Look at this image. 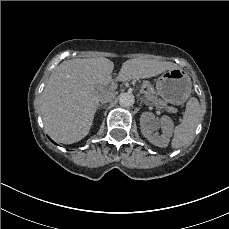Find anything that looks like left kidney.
Listing matches in <instances>:
<instances>
[{"label": "left kidney", "instance_id": "1", "mask_svg": "<svg viewBox=\"0 0 229 229\" xmlns=\"http://www.w3.org/2000/svg\"><path fill=\"white\" fill-rule=\"evenodd\" d=\"M159 123L164 132L160 136H151V132L154 130V126ZM141 130L145 138H147L152 144L160 148H166L170 137L172 135V121L167 117H162L159 121L150 112H145L140 117Z\"/></svg>", "mask_w": 229, "mask_h": 229}]
</instances>
